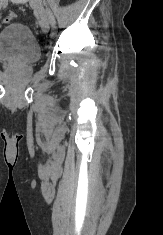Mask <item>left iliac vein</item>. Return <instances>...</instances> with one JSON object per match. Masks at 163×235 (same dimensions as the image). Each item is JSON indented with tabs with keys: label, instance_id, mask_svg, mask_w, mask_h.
<instances>
[{
	"label": "left iliac vein",
	"instance_id": "obj_1",
	"mask_svg": "<svg viewBox=\"0 0 163 235\" xmlns=\"http://www.w3.org/2000/svg\"><path fill=\"white\" fill-rule=\"evenodd\" d=\"M30 4L35 8L39 14L40 26L44 33H47L50 29L49 18L46 13L42 0H29Z\"/></svg>",
	"mask_w": 163,
	"mask_h": 235
}]
</instances>
